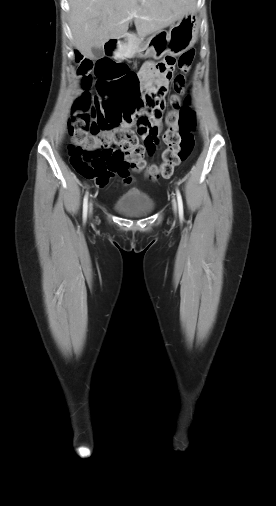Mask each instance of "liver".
Returning <instances> with one entry per match:
<instances>
[{"instance_id":"6515ba94","label":"liver","mask_w":276,"mask_h":506,"mask_svg":"<svg viewBox=\"0 0 276 506\" xmlns=\"http://www.w3.org/2000/svg\"><path fill=\"white\" fill-rule=\"evenodd\" d=\"M195 0H69L74 46L93 59L92 48L125 34L134 20L141 35L173 25L193 11Z\"/></svg>"}]
</instances>
